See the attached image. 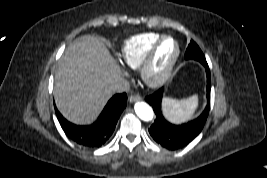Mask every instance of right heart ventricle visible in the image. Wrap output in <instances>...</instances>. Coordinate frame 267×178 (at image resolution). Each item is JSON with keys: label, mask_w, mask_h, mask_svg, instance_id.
<instances>
[{"label": "right heart ventricle", "mask_w": 267, "mask_h": 178, "mask_svg": "<svg viewBox=\"0 0 267 178\" xmlns=\"http://www.w3.org/2000/svg\"><path fill=\"white\" fill-rule=\"evenodd\" d=\"M162 37L158 33H143L125 40L119 50L120 59L129 67L137 69L151 47Z\"/></svg>", "instance_id": "obj_1"}]
</instances>
